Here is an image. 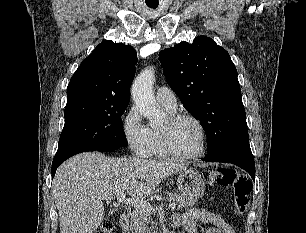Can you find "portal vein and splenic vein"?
Wrapping results in <instances>:
<instances>
[{
  "label": "portal vein and splenic vein",
  "instance_id": "18ae733b",
  "mask_svg": "<svg viewBox=\"0 0 306 233\" xmlns=\"http://www.w3.org/2000/svg\"><path fill=\"white\" fill-rule=\"evenodd\" d=\"M102 198L106 199V200H111L112 199L109 196H103ZM116 198H117L118 203L133 206L134 208L140 209L144 212L151 213V212L155 211L153 206L149 202H146V201H143V200H140V199H137V198H126V194L124 192L117 193ZM169 208L170 209H175L176 208V203L171 202L169 204Z\"/></svg>",
  "mask_w": 306,
  "mask_h": 233
}]
</instances>
